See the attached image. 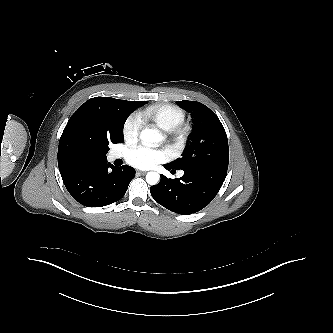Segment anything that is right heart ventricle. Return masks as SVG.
<instances>
[{
	"instance_id": "e07e8e85",
	"label": "right heart ventricle",
	"mask_w": 333,
	"mask_h": 333,
	"mask_svg": "<svg viewBox=\"0 0 333 333\" xmlns=\"http://www.w3.org/2000/svg\"><path fill=\"white\" fill-rule=\"evenodd\" d=\"M185 115L180 106L172 103L152 104L139 113L141 120L151 122L164 131L182 124Z\"/></svg>"
}]
</instances>
